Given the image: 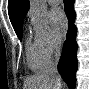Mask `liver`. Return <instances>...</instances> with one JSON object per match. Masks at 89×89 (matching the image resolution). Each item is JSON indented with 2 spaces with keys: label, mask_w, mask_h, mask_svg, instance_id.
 Masks as SVG:
<instances>
[{
  "label": "liver",
  "mask_w": 89,
  "mask_h": 89,
  "mask_svg": "<svg viewBox=\"0 0 89 89\" xmlns=\"http://www.w3.org/2000/svg\"><path fill=\"white\" fill-rule=\"evenodd\" d=\"M61 87L59 78L51 74H36L25 80V89H57Z\"/></svg>",
  "instance_id": "1"
}]
</instances>
